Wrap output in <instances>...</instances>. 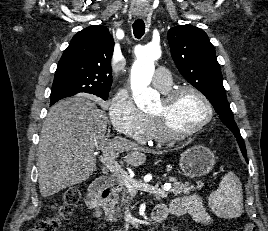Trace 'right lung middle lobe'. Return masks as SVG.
Returning a JSON list of instances; mask_svg holds the SVG:
<instances>
[{"mask_svg": "<svg viewBox=\"0 0 268 231\" xmlns=\"http://www.w3.org/2000/svg\"><path fill=\"white\" fill-rule=\"evenodd\" d=\"M65 94H66V91L63 88H60V87L52 88L50 98L53 99V98H56V97L63 96ZM108 95H109V93H105V94H99V95H96V96L101 97L103 100H107Z\"/></svg>", "mask_w": 268, "mask_h": 231, "instance_id": "dd1d6c3e", "label": "right lung middle lobe"}]
</instances>
